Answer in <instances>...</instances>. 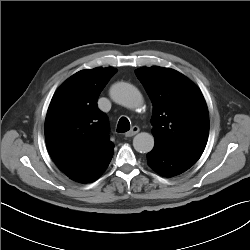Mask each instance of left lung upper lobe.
<instances>
[{
  "label": "left lung upper lobe",
  "mask_w": 250,
  "mask_h": 250,
  "mask_svg": "<svg viewBox=\"0 0 250 250\" xmlns=\"http://www.w3.org/2000/svg\"><path fill=\"white\" fill-rule=\"evenodd\" d=\"M136 75L153 104L155 146L202 154L209 134V115L201 91L183 74L169 68L144 67Z\"/></svg>",
  "instance_id": "left-lung-upper-lobe-1"
}]
</instances>
